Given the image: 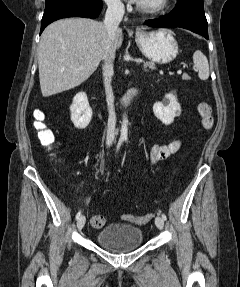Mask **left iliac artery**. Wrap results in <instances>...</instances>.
Listing matches in <instances>:
<instances>
[{"label": "left iliac artery", "instance_id": "left-iliac-artery-1", "mask_svg": "<svg viewBox=\"0 0 240 287\" xmlns=\"http://www.w3.org/2000/svg\"><path fill=\"white\" fill-rule=\"evenodd\" d=\"M162 218H163V220H166L167 218H166V215L163 213L162 215Z\"/></svg>", "mask_w": 240, "mask_h": 287}]
</instances>
